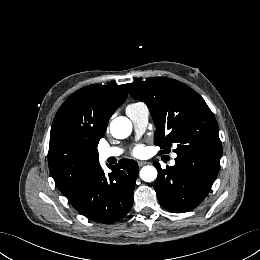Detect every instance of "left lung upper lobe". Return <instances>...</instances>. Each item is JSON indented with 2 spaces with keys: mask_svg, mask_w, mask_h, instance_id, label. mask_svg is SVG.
<instances>
[{
  "mask_svg": "<svg viewBox=\"0 0 260 260\" xmlns=\"http://www.w3.org/2000/svg\"><path fill=\"white\" fill-rule=\"evenodd\" d=\"M132 97L149 108L156 125L155 144L169 152L222 154L218 125L204 99L187 85L169 78L156 77L130 84ZM165 147H167L165 149Z\"/></svg>",
  "mask_w": 260,
  "mask_h": 260,
  "instance_id": "1",
  "label": "left lung upper lobe"
}]
</instances>
